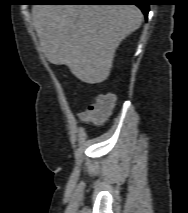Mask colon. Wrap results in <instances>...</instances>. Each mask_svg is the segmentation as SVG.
Wrapping results in <instances>:
<instances>
[{
	"label": "colon",
	"instance_id": "obj_1",
	"mask_svg": "<svg viewBox=\"0 0 188 213\" xmlns=\"http://www.w3.org/2000/svg\"><path fill=\"white\" fill-rule=\"evenodd\" d=\"M115 96L113 94H99L87 108L90 120L100 121L104 119L113 110L115 105Z\"/></svg>",
	"mask_w": 188,
	"mask_h": 213
}]
</instances>
